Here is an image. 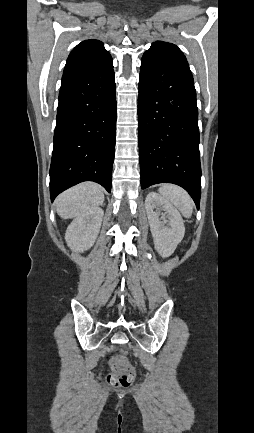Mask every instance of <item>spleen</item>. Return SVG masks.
<instances>
[{"label":"spleen","instance_id":"3e777b00","mask_svg":"<svg viewBox=\"0 0 254 433\" xmlns=\"http://www.w3.org/2000/svg\"><path fill=\"white\" fill-rule=\"evenodd\" d=\"M159 193L171 202L184 217L190 218L193 212V201L188 193L173 184H164L159 188Z\"/></svg>","mask_w":254,"mask_h":433}]
</instances>
